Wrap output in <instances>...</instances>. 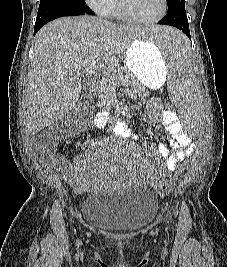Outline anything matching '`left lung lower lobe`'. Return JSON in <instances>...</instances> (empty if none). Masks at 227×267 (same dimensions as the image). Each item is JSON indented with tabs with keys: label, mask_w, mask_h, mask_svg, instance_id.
<instances>
[{
	"label": "left lung lower lobe",
	"mask_w": 227,
	"mask_h": 267,
	"mask_svg": "<svg viewBox=\"0 0 227 267\" xmlns=\"http://www.w3.org/2000/svg\"><path fill=\"white\" fill-rule=\"evenodd\" d=\"M158 24L174 26L182 30L191 40L189 23L185 11V3L168 7V13ZM178 51V46L177 49Z\"/></svg>",
	"instance_id": "obj_1"
}]
</instances>
